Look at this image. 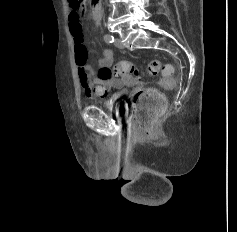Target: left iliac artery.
<instances>
[{
	"mask_svg": "<svg viewBox=\"0 0 237 232\" xmlns=\"http://www.w3.org/2000/svg\"><path fill=\"white\" fill-rule=\"evenodd\" d=\"M104 41L107 43H113L114 42V37L111 34H106L104 36Z\"/></svg>",
	"mask_w": 237,
	"mask_h": 232,
	"instance_id": "left-iliac-artery-1",
	"label": "left iliac artery"
}]
</instances>
